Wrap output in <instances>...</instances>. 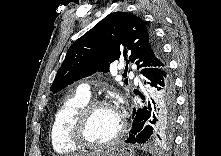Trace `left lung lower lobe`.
<instances>
[{
    "label": "left lung lower lobe",
    "instance_id": "obj_1",
    "mask_svg": "<svg viewBox=\"0 0 221 156\" xmlns=\"http://www.w3.org/2000/svg\"><path fill=\"white\" fill-rule=\"evenodd\" d=\"M145 84L147 106L133 110V122L128 143L164 140L173 134L176 121L174 78L168 63L141 72Z\"/></svg>",
    "mask_w": 221,
    "mask_h": 156
}]
</instances>
